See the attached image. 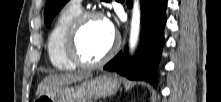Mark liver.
<instances>
[{"mask_svg":"<svg viewBox=\"0 0 221 102\" xmlns=\"http://www.w3.org/2000/svg\"><path fill=\"white\" fill-rule=\"evenodd\" d=\"M91 76V73H65V74H58V75H50L46 77L38 86L37 88V95L44 94L52 89L62 87L73 82H78L84 79H87Z\"/></svg>","mask_w":221,"mask_h":102,"instance_id":"1","label":"liver"}]
</instances>
